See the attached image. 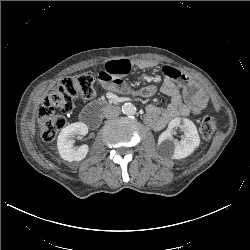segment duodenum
Returning a JSON list of instances; mask_svg holds the SVG:
<instances>
[{"instance_id":"obj_1","label":"duodenum","mask_w":250,"mask_h":250,"mask_svg":"<svg viewBox=\"0 0 250 250\" xmlns=\"http://www.w3.org/2000/svg\"><path fill=\"white\" fill-rule=\"evenodd\" d=\"M116 108L117 106L114 103L98 101L85 108L81 112L80 118L85 125L94 128L98 125L103 113Z\"/></svg>"}]
</instances>
